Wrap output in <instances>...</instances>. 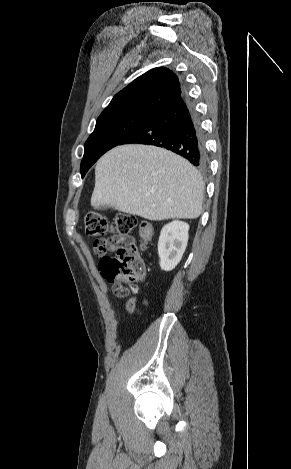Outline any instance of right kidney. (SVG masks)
I'll return each instance as SVG.
<instances>
[{"label": "right kidney", "instance_id": "right-kidney-1", "mask_svg": "<svg viewBox=\"0 0 291 469\" xmlns=\"http://www.w3.org/2000/svg\"><path fill=\"white\" fill-rule=\"evenodd\" d=\"M189 225L182 221L166 224L160 233L158 255L164 271L173 270L180 262L187 247Z\"/></svg>", "mask_w": 291, "mask_h": 469}]
</instances>
